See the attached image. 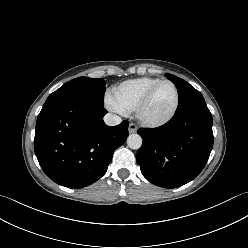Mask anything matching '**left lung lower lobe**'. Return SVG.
I'll list each match as a JSON object with an SVG mask.
<instances>
[{
	"mask_svg": "<svg viewBox=\"0 0 248 248\" xmlns=\"http://www.w3.org/2000/svg\"><path fill=\"white\" fill-rule=\"evenodd\" d=\"M137 163L143 176L163 188L180 187L203 170L213 147L212 115L205 101L175 113L159 128H141Z\"/></svg>",
	"mask_w": 248,
	"mask_h": 248,
	"instance_id": "0a47b994",
	"label": "left lung lower lobe"
}]
</instances>
